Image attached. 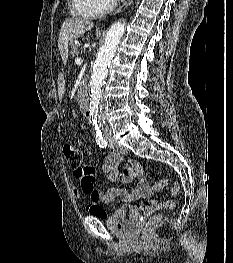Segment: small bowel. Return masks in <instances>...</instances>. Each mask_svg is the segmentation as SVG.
<instances>
[{
    "label": "small bowel",
    "mask_w": 233,
    "mask_h": 263,
    "mask_svg": "<svg viewBox=\"0 0 233 263\" xmlns=\"http://www.w3.org/2000/svg\"><path fill=\"white\" fill-rule=\"evenodd\" d=\"M84 168L89 169L87 174H75L81 180L82 192L90 199V204L87 210L95 217L107 219L108 213L101 206L112 202L119 197L123 203L122 208L134 211L153 212L164 206L152 198L153 189L149 185L144 169L141 164L135 160H130L128 165L123 166V156L117 153H111L105 157L102 163V171L108 181L116 182H135V187L132 190L127 188L112 185L106 191H101L95 186V169L90 165H85ZM76 196H79V190L74 189ZM147 200L146 204L137 203Z\"/></svg>",
    "instance_id": "c3829d8e"
}]
</instances>
